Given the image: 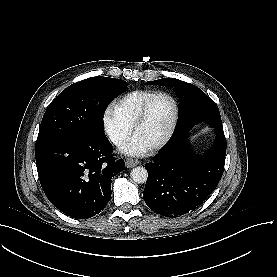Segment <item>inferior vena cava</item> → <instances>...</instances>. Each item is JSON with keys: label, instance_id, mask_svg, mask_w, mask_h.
Returning a JSON list of instances; mask_svg holds the SVG:
<instances>
[{"label": "inferior vena cava", "instance_id": "1", "mask_svg": "<svg viewBox=\"0 0 277 277\" xmlns=\"http://www.w3.org/2000/svg\"><path fill=\"white\" fill-rule=\"evenodd\" d=\"M109 138L115 145L121 144L123 140L122 136L119 135L118 133L110 134Z\"/></svg>", "mask_w": 277, "mask_h": 277}]
</instances>
